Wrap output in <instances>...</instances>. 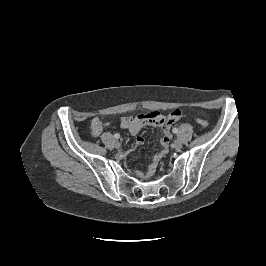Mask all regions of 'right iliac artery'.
<instances>
[{"label": "right iliac artery", "mask_w": 266, "mask_h": 266, "mask_svg": "<svg viewBox=\"0 0 266 266\" xmlns=\"http://www.w3.org/2000/svg\"><path fill=\"white\" fill-rule=\"evenodd\" d=\"M114 138L119 139V138H120V134L115 133V134H114Z\"/></svg>", "instance_id": "1"}]
</instances>
